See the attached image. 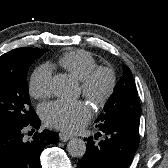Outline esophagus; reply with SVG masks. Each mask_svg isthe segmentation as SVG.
<instances>
[{
    "label": "esophagus",
    "mask_w": 168,
    "mask_h": 168,
    "mask_svg": "<svg viewBox=\"0 0 168 168\" xmlns=\"http://www.w3.org/2000/svg\"><path fill=\"white\" fill-rule=\"evenodd\" d=\"M59 137H60L61 141L66 142V141L70 140L73 136L66 134V133H60Z\"/></svg>",
    "instance_id": "34e87169"
}]
</instances>
